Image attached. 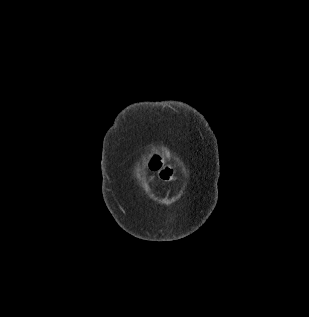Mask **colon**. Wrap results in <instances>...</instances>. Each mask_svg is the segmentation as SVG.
<instances>
[{
  "label": "colon",
  "mask_w": 309,
  "mask_h": 317,
  "mask_svg": "<svg viewBox=\"0 0 309 317\" xmlns=\"http://www.w3.org/2000/svg\"><path fill=\"white\" fill-rule=\"evenodd\" d=\"M152 168L155 170H160V176L164 180L172 179L174 176L173 170L170 167H163L160 159L158 158L152 162Z\"/></svg>",
  "instance_id": "5ec220e1"
}]
</instances>
